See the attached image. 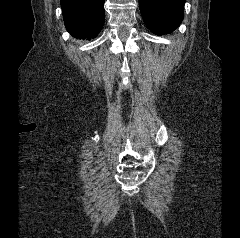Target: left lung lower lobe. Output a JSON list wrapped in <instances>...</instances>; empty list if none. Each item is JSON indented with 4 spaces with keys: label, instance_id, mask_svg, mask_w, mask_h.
I'll use <instances>...</instances> for the list:
<instances>
[{
    "label": "left lung lower lobe",
    "instance_id": "left-lung-lower-lobe-1",
    "mask_svg": "<svg viewBox=\"0 0 240 238\" xmlns=\"http://www.w3.org/2000/svg\"><path fill=\"white\" fill-rule=\"evenodd\" d=\"M185 0H139L147 27L156 35L173 32L182 22Z\"/></svg>",
    "mask_w": 240,
    "mask_h": 238
}]
</instances>
